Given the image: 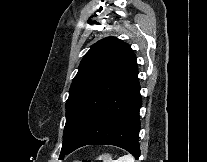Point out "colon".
<instances>
[{
  "instance_id": "1",
  "label": "colon",
  "mask_w": 207,
  "mask_h": 162,
  "mask_svg": "<svg viewBox=\"0 0 207 162\" xmlns=\"http://www.w3.org/2000/svg\"><path fill=\"white\" fill-rule=\"evenodd\" d=\"M75 162H91V161H88V160H82V161H75Z\"/></svg>"
}]
</instances>
